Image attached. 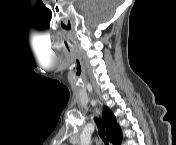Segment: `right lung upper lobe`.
Masks as SVG:
<instances>
[{
  "label": "right lung upper lobe",
  "instance_id": "cb5924a9",
  "mask_svg": "<svg viewBox=\"0 0 176 145\" xmlns=\"http://www.w3.org/2000/svg\"><path fill=\"white\" fill-rule=\"evenodd\" d=\"M103 121L106 124V138L113 145H118L121 142L122 134L119 125L116 123V118L108 107L103 109Z\"/></svg>",
  "mask_w": 176,
  "mask_h": 145
}]
</instances>
